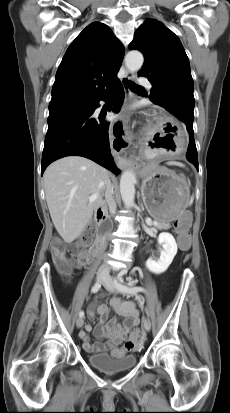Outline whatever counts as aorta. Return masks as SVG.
Here are the masks:
<instances>
[{
	"mask_svg": "<svg viewBox=\"0 0 230 413\" xmlns=\"http://www.w3.org/2000/svg\"><path fill=\"white\" fill-rule=\"evenodd\" d=\"M143 62V55L139 51H130L125 57L126 67L131 72L140 70ZM135 183L136 176L133 170H126L122 173L120 178V193L126 208H131L135 205Z\"/></svg>",
	"mask_w": 230,
	"mask_h": 413,
	"instance_id": "762f6f07",
	"label": "aorta"
}]
</instances>
